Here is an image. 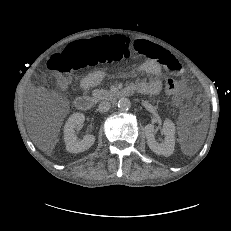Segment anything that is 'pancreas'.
Segmentation results:
<instances>
[{
    "label": "pancreas",
    "instance_id": "cf45deb5",
    "mask_svg": "<svg viewBox=\"0 0 231 231\" xmlns=\"http://www.w3.org/2000/svg\"><path fill=\"white\" fill-rule=\"evenodd\" d=\"M111 95V92L105 89H96L92 91V96L96 100L105 99Z\"/></svg>",
    "mask_w": 231,
    "mask_h": 231
}]
</instances>
